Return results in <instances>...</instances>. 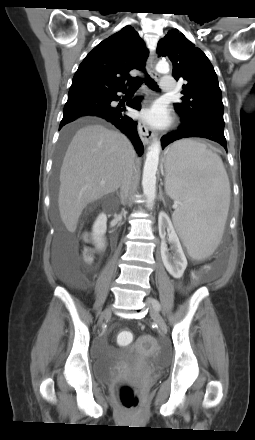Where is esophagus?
I'll return each mask as SVG.
<instances>
[{"label": "esophagus", "mask_w": 255, "mask_h": 440, "mask_svg": "<svg viewBox=\"0 0 255 440\" xmlns=\"http://www.w3.org/2000/svg\"><path fill=\"white\" fill-rule=\"evenodd\" d=\"M155 53H151V55L149 56L148 60H147V69L149 74L153 77V78H157L158 74L155 71ZM138 133L139 136L143 142L144 145H148L150 143V141L155 137V131L151 128H149L146 124H144L143 122H139L138 123Z\"/></svg>", "instance_id": "obj_1"}]
</instances>
